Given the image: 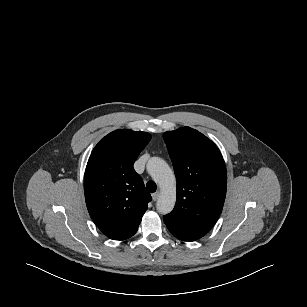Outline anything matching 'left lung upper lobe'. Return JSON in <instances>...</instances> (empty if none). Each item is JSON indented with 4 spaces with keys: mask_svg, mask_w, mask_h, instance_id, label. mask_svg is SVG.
Listing matches in <instances>:
<instances>
[{
    "mask_svg": "<svg viewBox=\"0 0 307 307\" xmlns=\"http://www.w3.org/2000/svg\"><path fill=\"white\" fill-rule=\"evenodd\" d=\"M177 180V200L164 222L192 238L203 237L225 201L227 173L217 146L202 133L182 127L163 134Z\"/></svg>",
    "mask_w": 307,
    "mask_h": 307,
    "instance_id": "left-lung-upper-lobe-1",
    "label": "left lung upper lobe"
}]
</instances>
